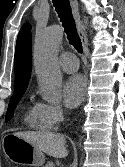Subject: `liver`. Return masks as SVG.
Returning a JSON list of instances; mask_svg holds the SVG:
<instances>
[{"label": "liver", "mask_w": 125, "mask_h": 167, "mask_svg": "<svg viewBox=\"0 0 125 167\" xmlns=\"http://www.w3.org/2000/svg\"><path fill=\"white\" fill-rule=\"evenodd\" d=\"M14 135L31 143L39 150L52 157L65 158L68 155L65 148V139L60 134L25 131L16 132Z\"/></svg>", "instance_id": "liver-1"}]
</instances>
